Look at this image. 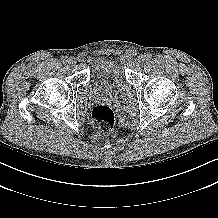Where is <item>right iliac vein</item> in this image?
Here are the masks:
<instances>
[{"instance_id":"right-iliac-vein-1","label":"right iliac vein","mask_w":218,"mask_h":218,"mask_svg":"<svg viewBox=\"0 0 218 218\" xmlns=\"http://www.w3.org/2000/svg\"><path fill=\"white\" fill-rule=\"evenodd\" d=\"M67 62H68L70 65H74V64L76 63V60H75V58L70 57Z\"/></svg>"}]
</instances>
